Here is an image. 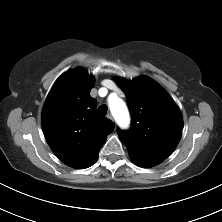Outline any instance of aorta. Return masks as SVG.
I'll return each mask as SVG.
<instances>
[{
    "instance_id": "obj_1",
    "label": "aorta",
    "mask_w": 222,
    "mask_h": 222,
    "mask_svg": "<svg viewBox=\"0 0 222 222\" xmlns=\"http://www.w3.org/2000/svg\"><path fill=\"white\" fill-rule=\"evenodd\" d=\"M111 112L120 126H125L128 123L129 116L125 103L118 99H112L109 102Z\"/></svg>"
}]
</instances>
